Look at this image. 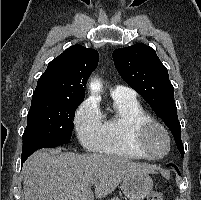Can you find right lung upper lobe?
Wrapping results in <instances>:
<instances>
[{"label":"right lung upper lobe","instance_id":"right-lung-upper-lobe-1","mask_svg":"<svg viewBox=\"0 0 201 200\" xmlns=\"http://www.w3.org/2000/svg\"><path fill=\"white\" fill-rule=\"evenodd\" d=\"M99 55L91 48L74 45L48 64L33 94L84 99L86 82L97 67Z\"/></svg>","mask_w":201,"mask_h":200}]
</instances>
